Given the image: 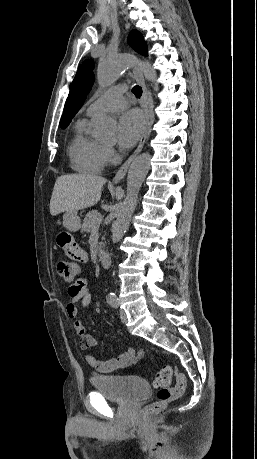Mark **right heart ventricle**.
Returning a JSON list of instances; mask_svg holds the SVG:
<instances>
[{
	"mask_svg": "<svg viewBox=\"0 0 257 459\" xmlns=\"http://www.w3.org/2000/svg\"><path fill=\"white\" fill-rule=\"evenodd\" d=\"M87 118L75 124L74 136L68 147L71 167L81 173H98L104 166L103 145L87 133Z\"/></svg>",
	"mask_w": 257,
	"mask_h": 459,
	"instance_id": "right-heart-ventricle-1",
	"label": "right heart ventricle"
}]
</instances>
